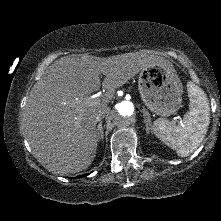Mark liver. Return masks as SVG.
I'll return each instance as SVG.
<instances>
[{
  "label": "liver",
  "mask_w": 221,
  "mask_h": 221,
  "mask_svg": "<svg viewBox=\"0 0 221 221\" xmlns=\"http://www.w3.org/2000/svg\"><path fill=\"white\" fill-rule=\"evenodd\" d=\"M172 64L156 54L130 52L101 58H61L48 67L28 96L23 125L35 158L59 174L87 169L97 150L95 117L107 107L115 89L143 69ZM106 93L94 105L83 100L100 86Z\"/></svg>",
  "instance_id": "liver-1"
}]
</instances>
